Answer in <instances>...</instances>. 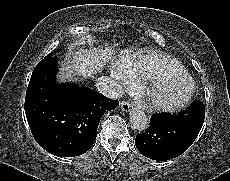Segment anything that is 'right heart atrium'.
I'll return each mask as SVG.
<instances>
[{
    "label": "right heart atrium",
    "mask_w": 230,
    "mask_h": 181,
    "mask_svg": "<svg viewBox=\"0 0 230 181\" xmlns=\"http://www.w3.org/2000/svg\"><path fill=\"white\" fill-rule=\"evenodd\" d=\"M112 76L115 80V84L117 87L121 88L128 84V81H132L133 79H129L124 71L113 69Z\"/></svg>",
    "instance_id": "1"
}]
</instances>
